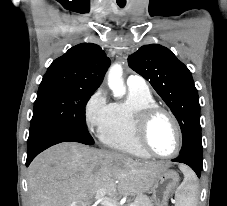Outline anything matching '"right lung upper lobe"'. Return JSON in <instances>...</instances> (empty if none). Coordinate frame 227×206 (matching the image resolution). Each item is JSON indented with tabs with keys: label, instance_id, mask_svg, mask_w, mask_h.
Returning a JSON list of instances; mask_svg holds the SVG:
<instances>
[{
	"label": "right lung upper lobe",
	"instance_id": "obj_1",
	"mask_svg": "<svg viewBox=\"0 0 227 206\" xmlns=\"http://www.w3.org/2000/svg\"><path fill=\"white\" fill-rule=\"evenodd\" d=\"M109 65L110 59L100 46L82 43L54 60L40 85L94 92L102 83Z\"/></svg>",
	"mask_w": 227,
	"mask_h": 206
}]
</instances>
